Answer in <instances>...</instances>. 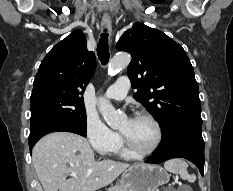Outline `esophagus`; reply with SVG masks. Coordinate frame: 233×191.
Wrapping results in <instances>:
<instances>
[{"label":"esophagus","mask_w":233,"mask_h":191,"mask_svg":"<svg viewBox=\"0 0 233 191\" xmlns=\"http://www.w3.org/2000/svg\"><path fill=\"white\" fill-rule=\"evenodd\" d=\"M102 30L103 32L108 33V41L111 43V38H112V25H111V19L110 16L104 15L102 18ZM106 30V31H105Z\"/></svg>","instance_id":"obj_1"}]
</instances>
